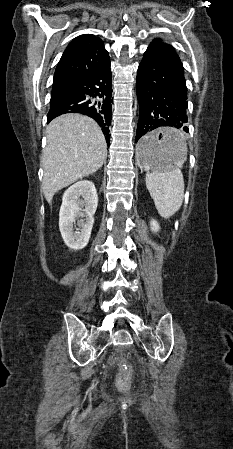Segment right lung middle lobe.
<instances>
[{
	"label": "right lung middle lobe",
	"mask_w": 233,
	"mask_h": 449,
	"mask_svg": "<svg viewBox=\"0 0 233 449\" xmlns=\"http://www.w3.org/2000/svg\"><path fill=\"white\" fill-rule=\"evenodd\" d=\"M71 95L68 88L52 90L50 102H56Z\"/></svg>",
	"instance_id": "dd1d6c3e"
}]
</instances>
